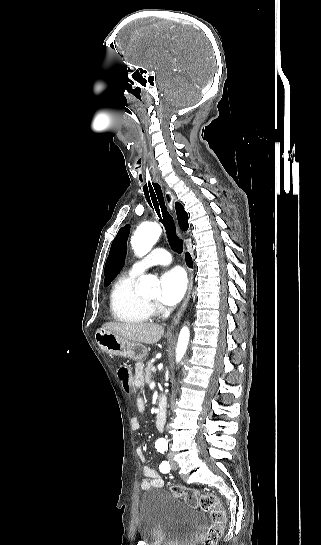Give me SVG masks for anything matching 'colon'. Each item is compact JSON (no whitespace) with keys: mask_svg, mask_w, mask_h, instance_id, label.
<instances>
[{"mask_svg":"<svg viewBox=\"0 0 321 545\" xmlns=\"http://www.w3.org/2000/svg\"><path fill=\"white\" fill-rule=\"evenodd\" d=\"M117 375L125 390H133L134 385L131 379V372L126 365L118 366ZM171 492L188 505L193 507L199 506L208 514L211 523L200 545H217L226 524V512L218 497L213 493L198 496L195 490L184 486H173L171 487Z\"/></svg>","mask_w":321,"mask_h":545,"instance_id":"5ec220e1","label":"colon"}]
</instances>
